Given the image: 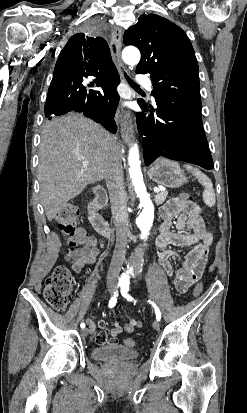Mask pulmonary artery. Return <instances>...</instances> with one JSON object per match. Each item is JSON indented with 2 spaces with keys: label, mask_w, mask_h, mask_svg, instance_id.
I'll list each match as a JSON object with an SVG mask.
<instances>
[{
  "label": "pulmonary artery",
  "mask_w": 247,
  "mask_h": 413,
  "mask_svg": "<svg viewBox=\"0 0 247 413\" xmlns=\"http://www.w3.org/2000/svg\"><path fill=\"white\" fill-rule=\"evenodd\" d=\"M141 80H137V85H143V83H145V85H146V87L149 89V90H153V88H154V85H153V83H152V80H151V78H150V76H145V77H141L140 78ZM143 79V80H142ZM144 81V82H143Z\"/></svg>",
  "instance_id": "1"
}]
</instances>
